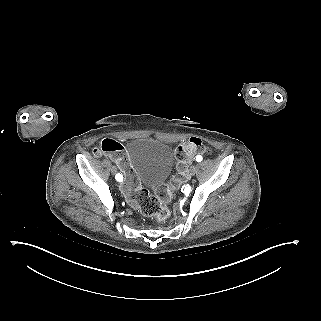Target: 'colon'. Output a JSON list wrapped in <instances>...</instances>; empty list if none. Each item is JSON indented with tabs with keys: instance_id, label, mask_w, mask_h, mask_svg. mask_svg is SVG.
Here are the masks:
<instances>
[{
	"instance_id": "obj_1",
	"label": "colon",
	"mask_w": 321,
	"mask_h": 321,
	"mask_svg": "<svg viewBox=\"0 0 321 321\" xmlns=\"http://www.w3.org/2000/svg\"><path fill=\"white\" fill-rule=\"evenodd\" d=\"M210 152L211 149L205 146L202 140L197 137H192L180 143L175 150V156L178 161V175L170 183L160 185L156 189V196H154L141 186L140 180L132 169L125 147L121 143L113 139H104L94 149L95 154L106 155L116 163L123 176L120 189L126 200L143 215L158 221H164L169 217V209L163 205V202H168L172 199L176 188L186 174L190 161L197 154H209Z\"/></svg>"
}]
</instances>
